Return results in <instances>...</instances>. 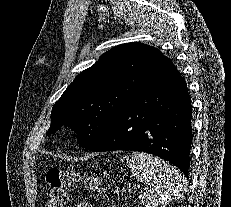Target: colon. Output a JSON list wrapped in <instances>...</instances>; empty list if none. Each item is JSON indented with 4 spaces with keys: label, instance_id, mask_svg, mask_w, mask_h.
<instances>
[{
    "label": "colon",
    "instance_id": "colon-1",
    "mask_svg": "<svg viewBox=\"0 0 231 207\" xmlns=\"http://www.w3.org/2000/svg\"><path fill=\"white\" fill-rule=\"evenodd\" d=\"M46 182L48 185L47 207H65L68 189L78 184H83L89 191H101L97 178L58 167L48 169Z\"/></svg>",
    "mask_w": 231,
    "mask_h": 207
}]
</instances>
